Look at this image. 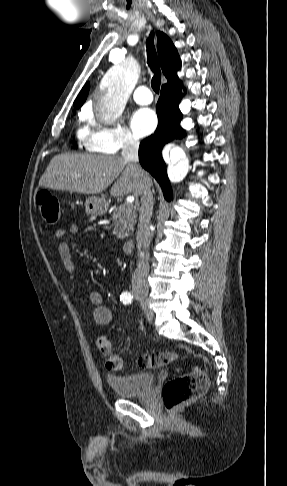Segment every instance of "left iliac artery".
<instances>
[{
	"mask_svg": "<svg viewBox=\"0 0 287 486\" xmlns=\"http://www.w3.org/2000/svg\"><path fill=\"white\" fill-rule=\"evenodd\" d=\"M131 301L127 300V301H124L123 303L126 304V303H130Z\"/></svg>",
	"mask_w": 287,
	"mask_h": 486,
	"instance_id": "1",
	"label": "left iliac artery"
}]
</instances>
